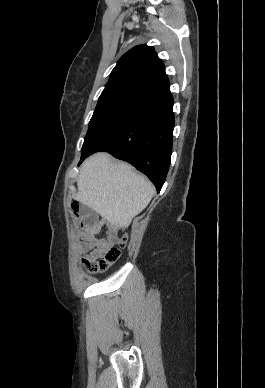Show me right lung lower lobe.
Returning a JSON list of instances; mask_svg holds the SVG:
<instances>
[{
    "mask_svg": "<svg viewBox=\"0 0 265 388\" xmlns=\"http://www.w3.org/2000/svg\"><path fill=\"white\" fill-rule=\"evenodd\" d=\"M174 125L173 97L168 90L148 100L81 157L80 163L92 153L109 152L146 174L159 192L170 165Z\"/></svg>",
    "mask_w": 265,
    "mask_h": 388,
    "instance_id": "obj_1",
    "label": "right lung lower lobe"
}]
</instances>
